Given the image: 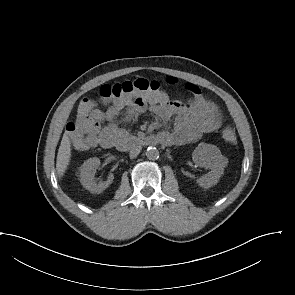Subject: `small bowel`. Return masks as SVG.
I'll return each instance as SVG.
<instances>
[{
  "label": "small bowel",
  "instance_id": "c3829d8e",
  "mask_svg": "<svg viewBox=\"0 0 295 295\" xmlns=\"http://www.w3.org/2000/svg\"><path fill=\"white\" fill-rule=\"evenodd\" d=\"M170 85L177 84L175 78H168ZM186 88L192 93L187 101L171 100L162 90L150 93H132L114 99L107 110L94 108L91 115L81 121L69 122L67 133L76 150L83 151L95 146L109 148L126 136L117 121L124 113V119H132L144 112L154 114L163 124L173 120L171 129L160 132L168 144L184 145L197 141L205 133L220 128L222 116L218 107L208 100L194 85ZM106 126H102L103 123Z\"/></svg>",
  "mask_w": 295,
  "mask_h": 295
}]
</instances>
